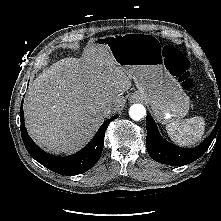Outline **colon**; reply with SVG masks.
<instances>
[{"instance_id": "colon-1", "label": "colon", "mask_w": 221, "mask_h": 221, "mask_svg": "<svg viewBox=\"0 0 221 221\" xmlns=\"http://www.w3.org/2000/svg\"><path fill=\"white\" fill-rule=\"evenodd\" d=\"M166 67L178 79L185 90H191L195 85L196 70L191 60L181 51L172 47L164 49Z\"/></svg>"}]
</instances>
